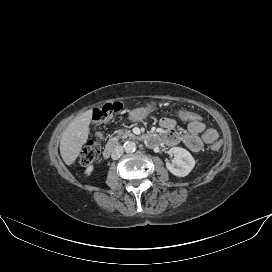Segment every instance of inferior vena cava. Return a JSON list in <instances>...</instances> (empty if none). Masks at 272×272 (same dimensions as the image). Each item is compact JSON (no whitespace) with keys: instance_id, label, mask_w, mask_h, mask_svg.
Returning a JSON list of instances; mask_svg holds the SVG:
<instances>
[{"instance_id":"obj_1","label":"inferior vena cava","mask_w":272,"mask_h":272,"mask_svg":"<svg viewBox=\"0 0 272 272\" xmlns=\"http://www.w3.org/2000/svg\"><path fill=\"white\" fill-rule=\"evenodd\" d=\"M122 154H123V147L120 146V145H117V146L113 149V151H112V153H111V158H112L113 160H117V159H119V158L122 156Z\"/></svg>"}]
</instances>
